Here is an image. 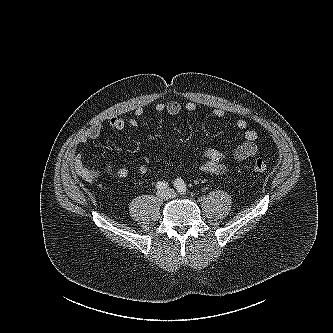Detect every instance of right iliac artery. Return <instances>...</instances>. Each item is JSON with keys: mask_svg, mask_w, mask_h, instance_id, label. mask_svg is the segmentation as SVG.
I'll list each match as a JSON object with an SVG mask.
<instances>
[{"mask_svg": "<svg viewBox=\"0 0 333 333\" xmlns=\"http://www.w3.org/2000/svg\"><path fill=\"white\" fill-rule=\"evenodd\" d=\"M168 187V183L165 182V181H159L157 184H156V188L158 190H164Z\"/></svg>", "mask_w": 333, "mask_h": 333, "instance_id": "obj_1", "label": "right iliac artery"}]
</instances>
